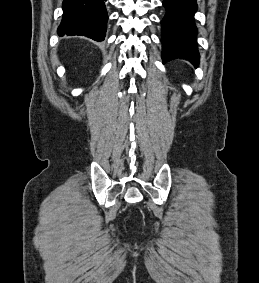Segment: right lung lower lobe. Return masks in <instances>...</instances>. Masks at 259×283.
<instances>
[{"label": "right lung lower lobe", "mask_w": 259, "mask_h": 283, "mask_svg": "<svg viewBox=\"0 0 259 283\" xmlns=\"http://www.w3.org/2000/svg\"><path fill=\"white\" fill-rule=\"evenodd\" d=\"M58 35H82L103 41L108 15L105 0H64Z\"/></svg>", "instance_id": "1"}]
</instances>
